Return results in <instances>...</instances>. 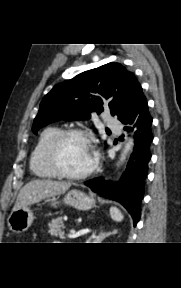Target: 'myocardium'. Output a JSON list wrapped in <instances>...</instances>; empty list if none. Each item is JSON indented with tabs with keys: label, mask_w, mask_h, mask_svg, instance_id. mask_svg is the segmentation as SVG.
<instances>
[{
	"label": "myocardium",
	"mask_w": 181,
	"mask_h": 288,
	"mask_svg": "<svg viewBox=\"0 0 181 288\" xmlns=\"http://www.w3.org/2000/svg\"><path fill=\"white\" fill-rule=\"evenodd\" d=\"M79 137L85 140L90 149L92 147V138L91 135L82 129H77V128H69V129H64L59 131L55 137L52 139L48 151H47V161L51 169L59 176L67 179H83L92 174L95 169L98 166V158L97 156L92 153V163L91 165L83 172L79 173H72L67 171L64 166L61 163L60 160V149L62 143L68 138V137Z\"/></svg>",
	"instance_id": "obj_1"
}]
</instances>
